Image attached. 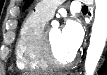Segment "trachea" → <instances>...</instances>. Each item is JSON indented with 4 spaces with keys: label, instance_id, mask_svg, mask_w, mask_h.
<instances>
[{
    "label": "trachea",
    "instance_id": "trachea-1",
    "mask_svg": "<svg viewBox=\"0 0 107 75\" xmlns=\"http://www.w3.org/2000/svg\"><path fill=\"white\" fill-rule=\"evenodd\" d=\"M82 8H83V9H88V7H87V6H83Z\"/></svg>",
    "mask_w": 107,
    "mask_h": 75
}]
</instances>
